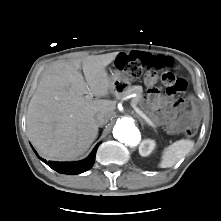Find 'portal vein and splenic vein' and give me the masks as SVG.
I'll return each instance as SVG.
<instances>
[{
    "label": "portal vein and splenic vein",
    "instance_id": "1",
    "mask_svg": "<svg viewBox=\"0 0 221 221\" xmlns=\"http://www.w3.org/2000/svg\"><path fill=\"white\" fill-rule=\"evenodd\" d=\"M131 107L134 109V111L141 117L143 118L146 122H148L151 126H153L152 122L150 119L134 104L131 102Z\"/></svg>",
    "mask_w": 221,
    "mask_h": 221
}]
</instances>
